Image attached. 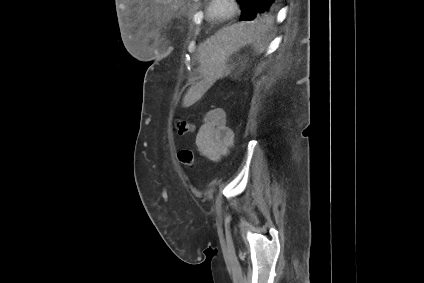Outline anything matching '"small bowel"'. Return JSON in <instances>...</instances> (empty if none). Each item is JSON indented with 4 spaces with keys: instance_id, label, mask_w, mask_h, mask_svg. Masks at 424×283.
I'll list each match as a JSON object with an SVG mask.
<instances>
[{
    "instance_id": "small-bowel-1",
    "label": "small bowel",
    "mask_w": 424,
    "mask_h": 283,
    "mask_svg": "<svg viewBox=\"0 0 424 283\" xmlns=\"http://www.w3.org/2000/svg\"><path fill=\"white\" fill-rule=\"evenodd\" d=\"M196 150L209 161L217 162L233 145V132L226 125V113L221 108L209 110L197 131Z\"/></svg>"
}]
</instances>
